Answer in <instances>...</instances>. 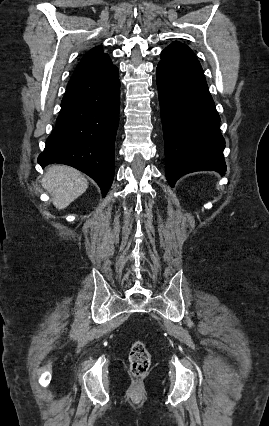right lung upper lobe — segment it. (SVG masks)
<instances>
[{
	"label": "right lung upper lobe",
	"mask_w": 269,
	"mask_h": 426,
	"mask_svg": "<svg viewBox=\"0 0 269 426\" xmlns=\"http://www.w3.org/2000/svg\"><path fill=\"white\" fill-rule=\"evenodd\" d=\"M112 66L110 57L104 53L103 49L95 47L83 56L74 70L72 78L103 72Z\"/></svg>",
	"instance_id": "obj_1"
}]
</instances>
